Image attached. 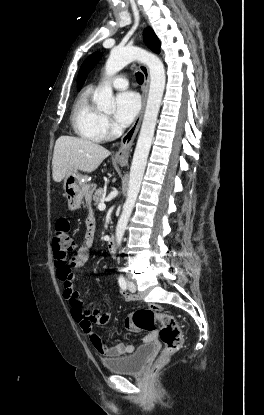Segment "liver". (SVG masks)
Listing matches in <instances>:
<instances>
[{"mask_svg": "<svg viewBox=\"0 0 264 415\" xmlns=\"http://www.w3.org/2000/svg\"><path fill=\"white\" fill-rule=\"evenodd\" d=\"M110 155L103 146L77 137L61 136L56 140L52 175L55 182H61L70 170L91 173Z\"/></svg>", "mask_w": 264, "mask_h": 415, "instance_id": "liver-1", "label": "liver"}]
</instances>
